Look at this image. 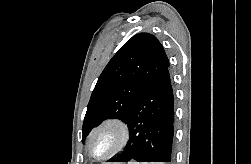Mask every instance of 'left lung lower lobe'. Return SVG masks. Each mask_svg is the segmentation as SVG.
<instances>
[{"instance_id": "1", "label": "left lung lower lobe", "mask_w": 251, "mask_h": 164, "mask_svg": "<svg viewBox=\"0 0 251 164\" xmlns=\"http://www.w3.org/2000/svg\"><path fill=\"white\" fill-rule=\"evenodd\" d=\"M168 67L136 100L126 122L130 134L127 146L120 156L108 162L172 161L174 96Z\"/></svg>"}]
</instances>
